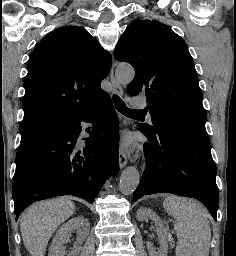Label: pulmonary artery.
<instances>
[{"instance_id": "1", "label": "pulmonary artery", "mask_w": 236, "mask_h": 256, "mask_svg": "<svg viewBox=\"0 0 236 256\" xmlns=\"http://www.w3.org/2000/svg\"><path fill=\"white\" fill-rule=\"evenodd\" d=\"M131 101V108L132 109H141L142 106H144V101H139L140 97L139 96H133Z\"/></svg>"}]
</instances>
